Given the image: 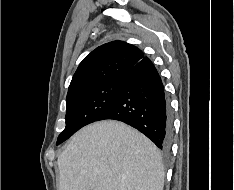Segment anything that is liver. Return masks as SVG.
Masks as SVG:
<instances>
[{
	"mask_svg": "<svg viewBox=\"0 0 234 190\" xmlns=\"http://www.w3.org/2000/svg\"><path fill=\"white\" fill-rule=\"evenodd\" d=\"M59 190H163L157 147L142 133L113 120L82 128L58 157Z\"/></svg>",
	"mask_w": 234,
	"mask_h": 190,
	"instance_id": "obj_1",
	"label": "liver"
}]
</instances>
